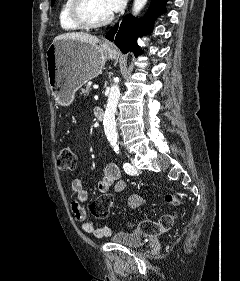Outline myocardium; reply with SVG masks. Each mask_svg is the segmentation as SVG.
Returning a JSON list of instances; mask_svg holds the SVG:
<instances>
[{"label": "myocardium", "instance_id": "myocardium-1", "mask_svg": "<svg viewBox=\"0 0 240 281\" xmlns=\"http://www.w3.org/2000/svg\"><path fill=\"white\" fill-rule=\"evenodd\" d=\"M69 14L71 19L82 28H99L109 24L114 18L111 13L104 19L95 20L91 15L90 0H72Z\"/></svg>", "mask_w": 240, "mask_h": 281}]
</instances>
